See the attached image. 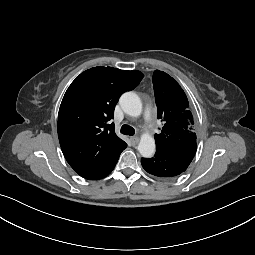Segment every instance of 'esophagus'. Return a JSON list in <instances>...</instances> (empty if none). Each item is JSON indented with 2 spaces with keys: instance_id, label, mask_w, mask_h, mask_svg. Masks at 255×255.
I'll return each mask as SVG.
<instances>
[{
  "instance_id": "34e87169",
  "label": "esophagus",
  "mask_w": 255,
  "mask_h": 255,
  "mask_svg": "<svg viewBox=\"0 0 255 255\" xmlns=\"http://www.w3.org/2000/svg\"><path fill=\"white\" fill-rule=\"evenodd\" d=\"M130 141L132 145H136L139 141V138L136 136L130 137Z\"/></svg>"
}]
</instances>
